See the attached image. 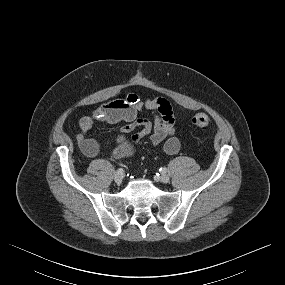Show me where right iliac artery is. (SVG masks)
Instances as JSON below:
<instances>
[{
  "instance_id": "1",
  "label": "right iliac artery",
  "mask_w": 285,
  "mask_h": 285,
  "mask_svg": "<svg viewBox=\"0 0 285 285\" xmlns=\"http://www.w3.org/2000/svg\"><path fill=\"white\" fill-rule=\"evenodd\" d=\"M117 173L122 175V174L124 173V169H123V168H119V169L117 170Z\"/></svg>"
}]
</instances>
